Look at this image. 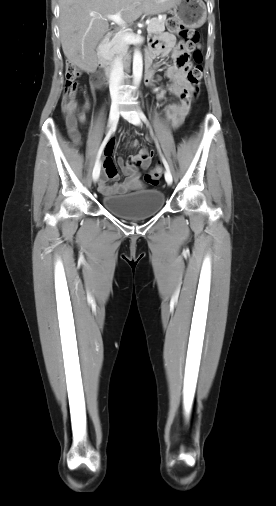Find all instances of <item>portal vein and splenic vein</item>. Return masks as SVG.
I'll return each instance as SVG.
<instances>
[{
  "instance_id": "obj_1",
  "label": "portal vein and splenic vein",
  "mask_w": 276,
  "mask_h": 506,
  "mask_svg": "<svg viewBox=\"0 0 276 506\" xmlns=\"http://www.w3.org/2000/svg\"><path fill=\"white\" fill-rule=\"evenodd\" d=\"M92 16L97 17V15L92 14ZM102 17V16H99ZM106 19L111 20L118 25L125 26V22L122 20L120 13H116L114 15H107ZM150 21H147L146 24L149 25Z\"/></svg>"
}]
</instances>
